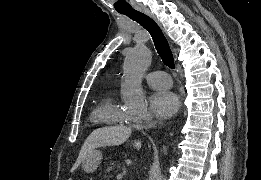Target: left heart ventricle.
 <instances>
[{
	"label": "left heart ventricle",
	"mask_w": 261,
	"mask_h": 180,
	"mask_svg": "<svg viewBox=\"0 0 261 180\" xmlns=\"http://www.w3.org/2000/svg\"><path fill=\"white\" fill-rule=\"evenodd\" d=\"M128 114V116H135V114H133V113H127Z\"/></svg>",
	"instance_id": "b2bd125f"
}]
</instances>
